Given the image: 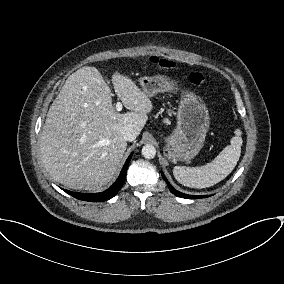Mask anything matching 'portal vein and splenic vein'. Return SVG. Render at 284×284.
Listing matches in <instances>:
<instances>
[{
  "mask_svg": "<svg viewBox=\"0 0 284 284\" xmlns=\"http://www.w3.org/2000/svg\"><path fill=\"white\" fill-rule=\"evenodd\" d=\"M116 110H117V111H121V110H122V104H121V102H117V103H116Z\"/></svg>",
  "mask_w": 284,
  "mask_h": 284,
  "instance_id": "1",
  "label": "portal vein and splenic vein"
}]
</instances>
